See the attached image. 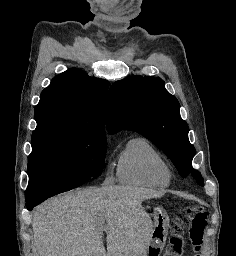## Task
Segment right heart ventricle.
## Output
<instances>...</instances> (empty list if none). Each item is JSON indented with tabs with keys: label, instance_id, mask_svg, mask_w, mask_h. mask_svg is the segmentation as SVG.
I'll return each mask as SVG.
<instances>
[{
	"label": "right heart ventricle",
	"instance_id": "1",
	"mask_svg": "<svg viewBox=\"0 0 236 256\" xmlns=\"http://www.w3.org/2000/svg\"><path fill=\"white\" fill-rule=\"evenodd\" d=\"M120 183L145 188H166L172 182L167 159L146 139H131L121 154L117 169Z\"/></svg>",
	"mask_w": 236,
	"mask_h": 256
}]
</instances>
